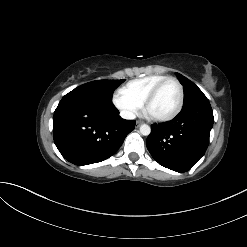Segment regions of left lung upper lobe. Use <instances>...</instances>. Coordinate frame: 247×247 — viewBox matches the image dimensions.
<instances>
[{
    "label": "left lung upper lobe",
    "instance_id": "1",
    "mask_svg": "<svg viewBox=\"0 0 247 247\" xmlns=\"http://www.w3.org/2000/svg\"><path fill=\"white\" fill-rule=\"evenodd\" d=\"M177 77L180 83L184 86L183 106H186L197 100L207 99L204 93L192 81L178 73Z\"/></svg>",
    "mask_w": 247,
    "mask_h": 247
}]
</instances>
